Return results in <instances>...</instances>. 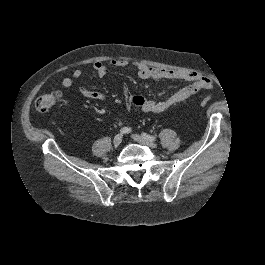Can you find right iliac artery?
Masks as SVG:
<instances>
[{
    "instance_id": "82829eb1",
    "label": "right iliac artery",
    "mask_w": 265,
    "mask_h": 265,
    "mask_svg": "<svg viewBox=\"0 0 265 265\" xmlns=\"http://www.w3.org/2000/svg\"><path fill=\"white\" fill-rule=\"evenodd\" d=\"M131 128L130 127H123V128H121L120 129V132L122 133V134H128V133H130L131 132Z\"/></svg>"
}]
</instances>
